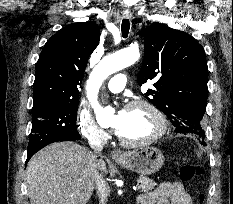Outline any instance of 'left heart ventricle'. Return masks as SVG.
Instances as JSON below:
<instances>
[{
    "instance_id": "left-heart-ventricle-1",
    "label": "left heart ventricle",
    "mask_w": 233,
    "mask_h": 204,
    "mask_svg": "<svg viewBox=\"0 0 233 204\" xmlns=\"http://www.w3.org/2000/svg\"><path fill=\"white\" fill-rule=\"evenodd\" d=\"M116 124V116L113 125ZM158 129V122L145 107L125 109L118 135L131 141L143 140L153 135Z\"/></svg>"
}]
</instances>
